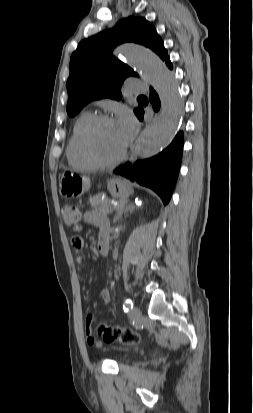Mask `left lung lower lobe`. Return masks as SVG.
<instances>
[{"mask_svg": "<svg viewBox=\"0 0 253 413\" xmlns=\"http://www.w3.org/2000/svg\"><path fill=\"white\" fill-rule=\"evenodd\" d=\"M165 63L172 69L169 57L166 58ZM149 100L153 109L158 111L160 100L153 88H150ZM143 115L144 111L141 109L137 114L138 119L142 120ZM183 144V133L179 132L172 143L158 155L147 160L137 161L133 165L127 163L116 168L114 173L153 189L161 197L164 204H167L180 169Z\"/></svg>", "mask_w": 253, "mask_h": 413, "instance_id": "obj_1", "label": "left lung lower lobe"}]
</instances>
